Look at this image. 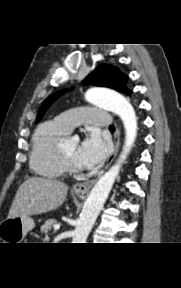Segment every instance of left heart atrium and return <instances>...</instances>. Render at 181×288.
Wrapping results in <instances>:
<instances>
[{"instance_id":"obj_1","label":"left heart atrium","mask_w":181,"mask_h":288,"mask_svg":"<svg viewBox=\"0 0 181 288\" xmlns=\"http://www.w3.org/2000/svg\"><path fill=\"white\" fill-rule=\"evenodd\" d=\"M109 152V146L97 131L89 132L76 152V162L83 168H94L100 165Z\"/></svg>"}]
</instances>
